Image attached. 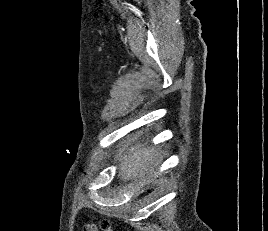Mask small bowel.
Returning <instances> with one entry per match:
<instances>
[{"mask_svg": "<svg viewBox=\"0 0 268 231\" xmlns=\"http://www.w3.org/2000/svg\"><path fill=\"white\" fill-rule=\"evenodd\" d=\"M83 231H98V228L95 224L86 223L83 226Z\"/></svg>", "mask_w": 268, "mask_h": 231, "instance_id": "1", "label": "small bowel"}]
</instances>
